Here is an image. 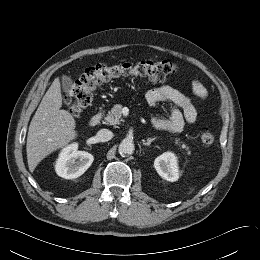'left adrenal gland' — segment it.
<instances>
[{
    "instance_id": "1",
    "label": "left adrenal gland",
    "mask_w": 260,
    "mask_h": 260,
    "mask_svg": "<svg viewBox=\"0 0 260 260\" xmlns=\"http://www.w3.org/2000/svg\"><path fill=\"white\" fill-rule=\"evenodd\" d=\"M156 140V138H148L147 141L143 140V145L150 146L151 142Z\"/></svg>"
}]
</instances>
